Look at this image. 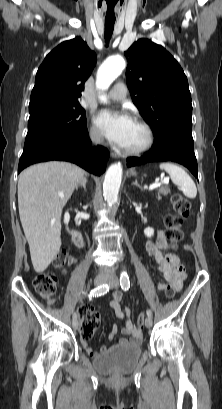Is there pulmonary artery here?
<instances>
[{"label": "pulmonary artery", "instance_id": "pulmonary-artery-1", "mask_svg": "<svg viewBox=\"0 0 222 409\" xmlns=\"http://www.w3.org/2000/svg\"><path fill=\"white\" fill-rule=\"evenodd\" d=\"M127 95L126 85L122 82H118L108 93V98L114 101H123Z\"/></svg>", "mask_w": 222, "mask_h": 409}]
</instances>
